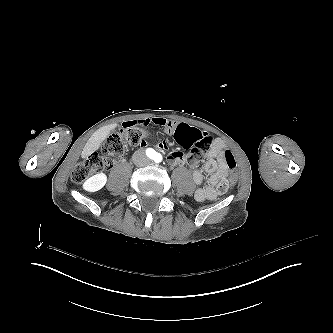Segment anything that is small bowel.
Masks as SVG:
<instances>
[{
	"label": "small bowel",
	"instance_id": "obj_1",
	"mask_svg": "<svg viewBox=\"0 0 333 333\" xmlns=\"http://www.w3.org/2000/svg\"><path fill=\"white\" fill-rule=\"evenodd\" d=\"M135 125L146 126H158L166 129L169 132L175 131L184 124L165 118V117H147L141 118L134 122ZM196 131V130H194ZM198 132V131H196ZM202 134L201 132H198ZM203 135V134H202ZM141 149H146V147H157L162 150H169V144L166 142H151V141H141ZM227 151L226 144L221 139H214L213 143L205 155V163L201 169H197L193 173V181L196 185H201L204 182V175L208 174L209 178L207 180V185L199 187L195 192V199L198 202H203L205 200L213 201L217 199L223 192L220 189L222 183L225 182L227 175L230 172V165L224 159V153ZM166 160L168 164L172 166H184L188 162L187 156L179 150L170 151ZM232 166L235 167V161H233Z\"/></svg>",
	"mask_w": 333,
	"mask_h": 333
}]
</instances>
